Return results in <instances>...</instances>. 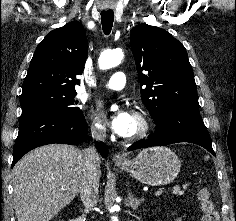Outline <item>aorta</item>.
I'll list each match as a JSON object with an SVG mask.
<instances>
[{
  "mask_svg": "<svg viewBox=\"0 0 236 221\" xmlns=\"http://www.w3.org/2000/svg\"><path fill=\"white\" fill-rule=\"evenodd\" d=\"M123 59V53L120 50H111L103 52L98 60L99 68L102 70L111 69L121 63ZM112 111L117 110V106L111 107ZM112 210H116V206L112 207ZM112 221H118V217L113 216Z\"/></svg>",
  "mask_w": 236,
  "mask_h": 221,
  "instance_id": "obj_1",
  "label": "aorta"
}]
</instances>
